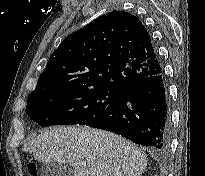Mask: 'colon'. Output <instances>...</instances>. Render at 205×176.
Instances as JSON below:
<instances>
[{"label": "colon", "mask_w": 205, "mask_h": 176, "mask_svg": "<svg viewBox=\"0 0 205 176\" xmlns=\"http://www.w3.org/2000/svg\"><path fill=\"white\" fill-rule=\"evenodd\" d=\"M28 170L31 173L32 176H37L36 175V166L33 163H30L28 165Z\"/></svg>", "instance_id": "5ec220e1"}]
</instances>
